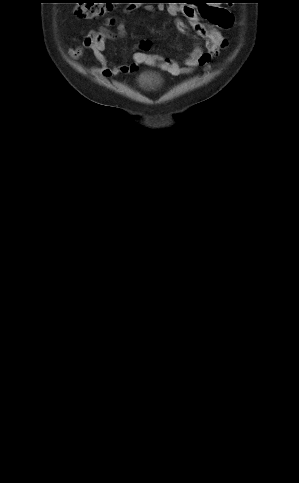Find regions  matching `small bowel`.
<instances>
[{
  "instance_id": "obj_1",
  "label": "small bowel",
  "mask_w": 299,
  "mask_h": 483,
  "mask_svg": "<svg viewBox=\"0 0 299 483\" xmlns=\"http://www.w3.org/2000/svg\"><path fill=\"white\" fill-rule=\"evenodd\" d=\"M135 9L136 6L134 5L127 8L128 11ZM147 9L166 10L170 16L175 18V25L182 33H185L188 28L183 20V17L186 18L195 32L205 40V48L195 46L181 64L176 60L165 58L161 55L149 54L150 41L142 40L139 43V51L133 54V61L131 63L111 65L108 57L104 53L105 41L107 38L124 37L126 35V26L124 23L118 22L115 18H107L105 20V26L90 30L82 39L79 46L69 48V55L72 58L78 59L84 55L85 51L90 50L98 64L96 71L105 78L118 74L132 73L140 65L144 64L157 66L172 75H187L193 73L198 67L208 66L211 60L218 56L220 51L227 45L226 38L220 33L217 27L229 28L232 25L233 16L228 10L213 4H208L203 9L200 7L199 10L192 5L182 4H168L157 7L148 6ZM199 13L204 15L210 21L211 25H205L201 22L198 18ZM108 26H114L116 29L115 32L110 31Z\"/></svg>"
}]
</instances>
